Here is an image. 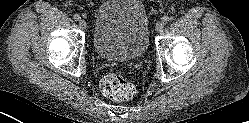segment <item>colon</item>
<instances>
[{"label": "colon", "instance_id": "5ec220e1", "mask_svg": "<svg viewBox=\"0 0 249 123\" xmlns=\"http://www.w3.org/2000/svg\"><path fill=\"white\" fill-rule=\"evenodd\" d=\"M102 95L114 101H127L134 97L135 86L119 75H107L100 82Z\"/></svg>", "mask_w": 249, "mask_h": 123}]
</instances>
